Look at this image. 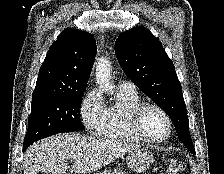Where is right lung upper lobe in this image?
<instances>
[{
    "instance_id": "1",
    "label": "right lung upper lobe",
    "mask_w": 224,
    "mask_h": 174,
    "mask_svg": "<svg viewBox=\"0 0 224 174\" xmlns=\"http://www.w3.org/2000/svg\"><path fill=\"white\" fill-rule=\"evenodd\" d=\"M95 55L92 35L77 29L64 30L42 63L33 97L84 93Z\"/></svg>"
}]
</instances>
